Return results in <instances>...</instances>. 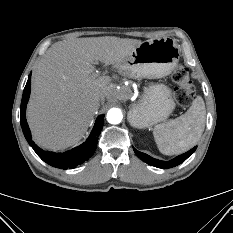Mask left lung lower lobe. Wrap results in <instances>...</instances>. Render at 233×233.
I'll return each instance as SVG.
<instances>
[{"label":"left lung lower lobe","mask_w":233,"mask_h":233,"mask_svg":"<svg viewBox=\"0 0 233 233\" xmlns=\"http://www.w3.org/2000/svg\"><path fill=\"white\" fill-rule=\"evenodd\" d=\"M197 147L192 148L191 150H189L188 152L177 156L176 158L170 160V161H161V160H157L154 159L152 157H150L149 155L139 152L138 150L134 149V152L136 153V155L143 160L144 162H146L149 165H152L154 167H158V168H163V169H167V168H172L175 167L179 164H181L182 162H184L190 155H192L194 153V151L196 150Z\"/></svg>","instance_id":"left-lung-lower-lobe-1"}]
</instances>
